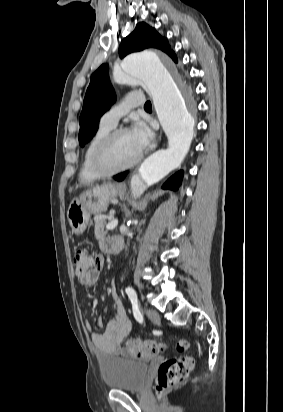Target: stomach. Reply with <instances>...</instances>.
Returning <instances> with one entry per match:
<instances>
[{"label":"stomach","instance_id":"1","mask_svg":"<svg viewBox=\"0 0 283 412\" xmlns=\"http://www.w3.org/2000/svg\"><path fill=\"white\" fill-rule=\"evenodd\" d=\"M119 193L113 184L94 187L74 198L67 210V219L76 235L82 234L89 225L91 215L105 211L112 199Z\"/></svg>","mask_w":283,"mask_h":412}]
</instances>
